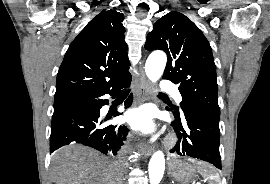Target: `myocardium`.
Listing matches in <instances>:
<instances>
[{"label":"myocardium","mask_w":270,"mask_h":184,"mask_svg":"<svg viewBox=\"0 0 270 184\" xmlns=\"http://www.w3.org/2000/svg\"><path fill=\"white\" fill-rule=\"evenodd\" d=\"M173 143H174V140L171 138V139H169V141L167 142V146H168V147H171V146L173 145Z\"/></svg>","instance_id":"1"}]
</instances>
